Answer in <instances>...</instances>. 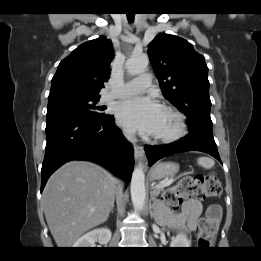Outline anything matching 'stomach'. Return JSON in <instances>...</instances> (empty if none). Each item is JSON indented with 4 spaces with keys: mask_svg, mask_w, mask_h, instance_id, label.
<instances>
[{
    "mask_svg": "<svg viewBox=\"0 0 261 261\" xmlns=\"http://www.w3.org/2000/svg\"><path fill=\"white\" fill-rule=\"evenodd\" d=\"M179 171V165L173 162L157 163L150 169V177L153 180H160L172 176Z\"/></svg>",
    "mask_w": 261,
    "mask_h": 261,
    "instance_id": "stomach-1",
    "label": "stomach"
}]
</instances>
